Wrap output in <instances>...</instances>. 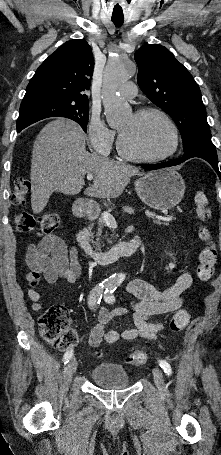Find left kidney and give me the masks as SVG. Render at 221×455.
I'll list each match as a JSON object with an SVG mask.
<instances>
[{"instance_id":"left-kidney-1","label":"left kidney","mask_w":221,"mask_h":455,"mask_svg":"<svg viewBox=\"0 0 221 455\" xmlns=\"http://www.w3.org/2000/svg\"><path fill=\"white\" fill-rule=\"evenodd\" d=\"M175 267V264L169 263V265L166 267V269H173Z\"/></svg>"}]
</instances>
